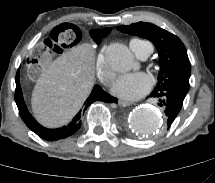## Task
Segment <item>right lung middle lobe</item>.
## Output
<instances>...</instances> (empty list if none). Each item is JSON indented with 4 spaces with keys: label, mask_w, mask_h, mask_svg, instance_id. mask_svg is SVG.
Here are the masks:
<instances>
[{
    "label": "right lung middle lobe",
    "mask_w": 215,
    "mask_h": 183,
    "mask_svg": "<svg viewBox=\"0 0 215 183\" xmlns=\"http://www.w3.org/2000/svg\"><path fill=\"white\" fill-rule=\"evenodd\" d=\"M58 27H64V29L70 27L69 25H64V26H58ZM109 30H99V29H96V30H92L90 31V35L92 37V39L97 43V44H100L101 42V38L107 36L109 34ZM77 34V39L75 40L74 44H76L77 42L80 41L81 39V34L79 33H76Z\"/></svg>",
    "instance_id": "right-lung-middle-lobe-1"
}]
</instances>
